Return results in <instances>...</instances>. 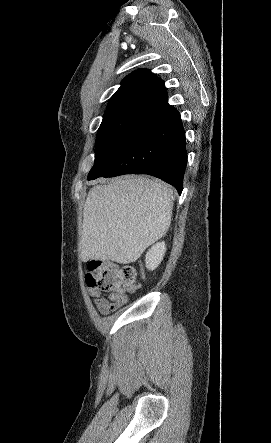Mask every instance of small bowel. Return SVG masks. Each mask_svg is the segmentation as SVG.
I'll use <instances>...</instances> for the list:
<instances>
[{"instance_id":"small-bowel-1","label":"small bowel","mask_w":271,"mask_h":443,"mask_svg":"<svg viewBox=\"0 0 271 443\" xmlns=\"http://www.w3.org/2000/svg\"><path fill=\"white\" fill-rule=\"evenodd\" d=\"M88 293L93 297V302L97 310L103 315H107L112 311L119 309L127 302L126 296L120 297L110 295L106 297L102 292L92 288H88Z\"/></svg>"}]
</instances>
